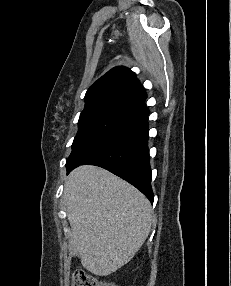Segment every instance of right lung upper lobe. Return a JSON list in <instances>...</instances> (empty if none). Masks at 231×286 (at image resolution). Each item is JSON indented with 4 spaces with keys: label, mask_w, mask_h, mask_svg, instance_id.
<instances>
[{
    "label": "right lung upper lobe",
    "mask_w": 231,
    "mask_h": 286,
    "mask_svg": "<svg viewBox=\"0 0 231 286\" xmlns=\"http://www.w3.org/2000/svg\"><path fill=\"white\" fill-rule=\"evenodd\" d=\"M146 93L135 74L126 67H115L98 79L86 92L85 108L100 104H115L138 111Z\"/></svg>",
    "instance_id": "cb5924a9"
}]
</instances>
